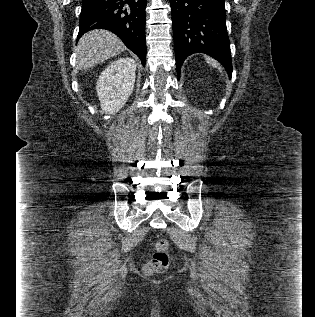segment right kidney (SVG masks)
<instances>
[{"label": "right kidney", "instance_id": "1", "mask_svg": "<svg viewBox=\"0 0 315 317\" xmlns=\"http://www.w3.org/2000/svg\"><path fill=\"white\" fill-rule=\"evenodd\" d=\"M136 63L131 58L111 62L99 76L96 91L102 112L115 114L133 92Z\"/></svg>", "mask_w": 315, "mask_h": 317}]
</instances>
